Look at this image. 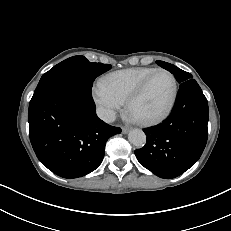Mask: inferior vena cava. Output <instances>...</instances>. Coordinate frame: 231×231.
Instances as JSON below:
<instances>
[{
    "mask_svg": "<svg viewBox=\"0 0 231 231\" xmlns=\"http://www.w3.org/2000/svg\"><path fill=\"white\" fill-rule=\"evenodd\" d=\"M97 115L101 120L107 123L114 122L116 119V113L113 110L103 107L97 109Z\"/></svg>",
    "mask_w": 231,
    "mask_h": 231,
    "instance_id": "1",
    "label": "inferior vena cava"
}]
</instances>
